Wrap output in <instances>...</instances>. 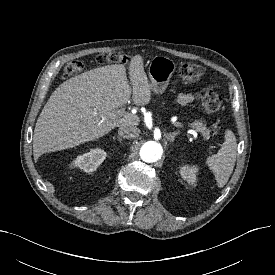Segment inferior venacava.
Masks as SVG:
<instances>
[{
  "label": "inferior vena cava",
  "mask_w": 275,
  "mask_h": 275,
  "mask_svg": "<svg viewBox=\"0 0 275 275\" xmlns=\"http://www.w3.org/2000/svg\"><path fill=\"white\" fill-rule=\"evenodd\" d=\"M118 133L126 139H134L139 136L140 130L137 126L122 125L119 127Z\"/></svg>",
  "instance_id": "1"
}]
</instances>
